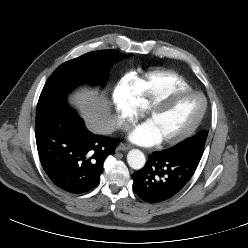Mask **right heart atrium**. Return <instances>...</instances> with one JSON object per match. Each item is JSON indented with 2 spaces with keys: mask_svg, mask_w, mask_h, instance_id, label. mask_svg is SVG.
Returning a JSON list of instances; mask_svg holds the SVG:
<instances>
[{
  "mask_svg": "<svg viewBox=\"0 0 248 248\" xmlns=\"http://www.w3.org/2000/svg\"><path fill=\"white\" fill-rule=\"evenodd\" d=\"M112 102L117 115L116 125L120 129H130L143 114L144 109L140 106L132 90L125 84L116 88Z\"/></svg>",
  "mask_w": 248,
  "mask_h": 248,
  "instance_id": "1",
  "label": "right heart atrium"
}]
</instances>
